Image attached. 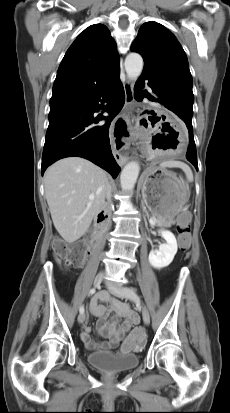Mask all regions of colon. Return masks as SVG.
Here are the masks:
<instances>
[{
    "label": "colon",
    "instance_id": "colon-1",
    "mask_svg": "<svg viewBox=\"0 0 230 413\" xmlns=\"http://www.w3.org/2000/svg\"><path fill=\"white\" fill-rule=\"evenodd\" d=\"M189 225L186 215H182L177 223L178 243L182 252H187L192 245L189 237ZM54 256L65 268H72L82 261L87 254V247L83 242L67 244L62 240H55L52 244ZM127 341L131 348H140L144 342V335L140 328H135Z\"/></svg>",
    "mask_w": 230,
    "mask_h": 413
}]
</instances>
